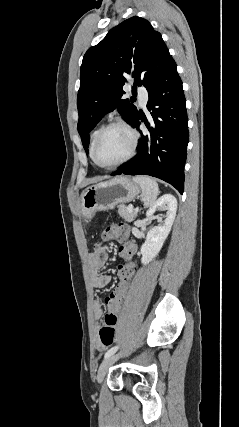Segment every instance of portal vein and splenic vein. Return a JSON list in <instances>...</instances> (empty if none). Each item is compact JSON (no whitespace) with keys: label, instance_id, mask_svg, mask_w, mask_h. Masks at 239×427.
Returning <instances> with one entry per match:
<instances>
[{"label":"portal vein and splenic vein","instance_id":"18ae733b","mask_svg":"<svg viewBox=\"0 0 239 427\" xmlns=\"http://www.w3.org/2000/svg\"><path fill=\"white\" fill-rule=\"evenodd\" d=\"M128 210L131 212V211H133L134 209H133V206L132 205H129L128 206ZM137 212V211H136Z\"/></svg>","mask_w":239,"mask_h":427}]
</instances>
